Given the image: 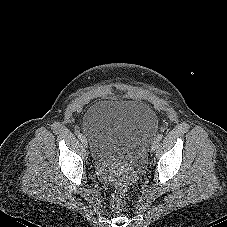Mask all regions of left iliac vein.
I'll list each match as a JSON object with an SVG mask.
<instances>
[{"mask_svg": "<svg viewBox=\"0 0 227 227\" xmlns=\"http://www.w3.org/2000/svg\"><path fill=\"white\" fill-rule=\"evenodd\" d=\"M158 146H159V141L157 139H155L151 145L152 151L156 150L158 148Z\"/></svg>", "mask_w": 227, "mask_h": 227, "instance_id": "4c4485c4", "label": "left iliac vein"}]
</instances>
